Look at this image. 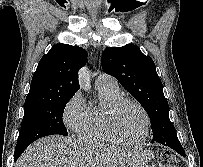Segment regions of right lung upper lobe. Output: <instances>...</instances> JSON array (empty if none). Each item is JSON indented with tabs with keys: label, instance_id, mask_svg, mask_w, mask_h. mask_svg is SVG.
<instances>
[{
	"label": "right lung upper lobe",
	"instance_id": "cb5924a9",
	"mask_svg": "<svg viewBox=\"0 0 203 167\" xmlns=\"http://www.w3.org/2000/svg\"><path fill=\"white\" fill-rule=\"evenodd\" d=\"M87 56L79 46L54 45L41 58L25 103L74 96L79 90L78 71L85 65Z\"/></svg>",
	"mask_w": 203,
	"mask_h": 167
}]
</instances>
